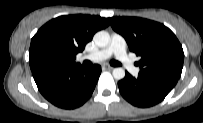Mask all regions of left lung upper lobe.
<instances>
[{
	"label": "left lung upper lobe",
	"instance_id": "left-lung-upper-lobe-1",
	"mask_svg": "<svg viewBox=\"0 0 203 123\" xmlns=\"http://www.w3.org/2000/svg\"><path fill=\"white\" fill-rule=\"evenodd\" d=\"M112 28L121 34L130 51L141 56L140 72L179 79L184 52L175 34L161 23L138 17H112Z\"/></svg>",
	"mask_w": 203,
	"mask_h": 123
}]
</instances>
